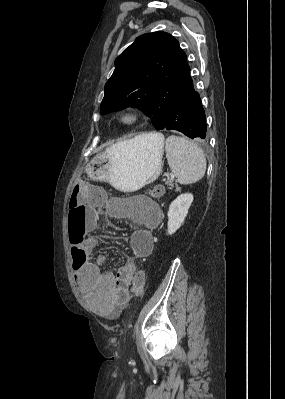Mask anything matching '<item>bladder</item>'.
Segmentation results:
<instances>
[{"mask_svg": "<svg viewBox=\"0 0 285 399\" xmlns=\"http://www.w3.org/2000/svg\"><path fill=\"white\" fill-rule=\"evenodd\" d=\"M131 200H138L140 201L144 206H146V208L150 209V210H156L157 206L155 204V202L153 200H151L148 197H144V196H133L130 198Z\"/></svg>", "mask_w": 285, "mask_h": 399, "instance_id": "31cf9c89", "label": "bladder"}]
</instances>
